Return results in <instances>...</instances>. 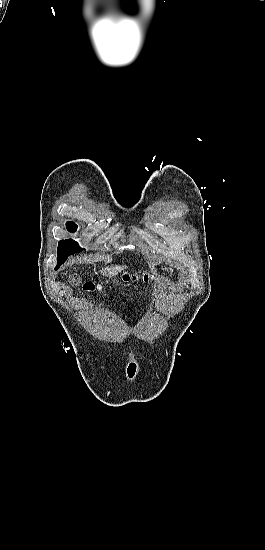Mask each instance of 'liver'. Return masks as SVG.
<instances>
[{
  "mask_svg": "<svg viewBox=\"0 0 265 550\" xmlns=\"http://www.w3.org/2000/svg\"><path fill=\"white\" fill-rule=\"evenodd\" d=\"M124 266H111L110 268L109 267H106L105 269H102L100 272L103 274V275H106V276H111L113 275L114 273L120 271L123 269Z\"/></svg>",
  "mask_w": 265,
  "mask_h": 550,
  "instance_id": "obj_1",
  "label": "liver"
}]
</instances>
